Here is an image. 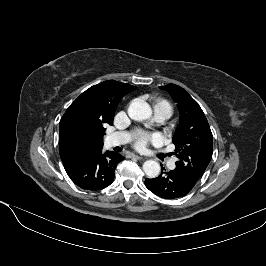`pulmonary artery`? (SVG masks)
I'll return each instance as SVG.
<instances>
[{"instance_id":"pulmonary-artery-1","label":"pulmonary artery","mask_w":266,"mask_h":266,"mask_svg":"<svg viewBox=\"0 0 266 266\" xmlns=\"http://www.w3.org/2000/svg\"><path fill=\"white\" fill-rule=\"evenodd\" d=\"M155 112V120L159 123L165 121L169 115L163 110L156 109ZM130 140V134L127 132H115L107 137V144L109 146H117L127 143ZM168 167L173 169L175 167V160H170L168 162Z\"/></svg>"}]
</instances>
